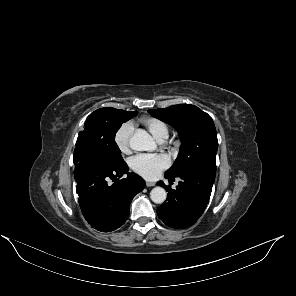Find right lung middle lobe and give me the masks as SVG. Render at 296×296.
<instances>
[{
    "label": "right lung middle lobe",
    "mask_w": 296,
    "mask_h": 296,
    "mask_svg": "<svg viewBox=\"0 0 296 296\" xmlns=\"http://www.w3.org/2000/svg\"><path fill=\"white\" fill-rule=\"evenodd\" d=\"M137 114L115 108H101L91 113L85 121V129L79 133L76 146H85L101 154L113 166L124 162L115 142V134L122 123Z\"/></svg>",
    "instance_id": "right-lung-middle-lobe-1"
}]
</instances>
